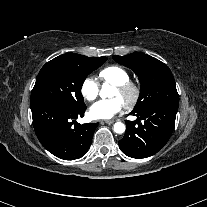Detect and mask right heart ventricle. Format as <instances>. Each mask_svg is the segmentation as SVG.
<instances>
[{
	"label": "right heart ventricle",
	"instance_id": "obj_1",
	"mask_svg": "<svg viewBox=\"0 0 207 207\" xmlns=\"http://www.w3.org/2000/svg\"><path fill=\"white\" fill-rule=\"evenodd\" d=\"M98 75L101 81L113 85H122L129 81L128 72L117 65H111L101 69Z\"/></svg>",
	"mask_w": 207,
	"mask_h": 207
}]
</instances>
